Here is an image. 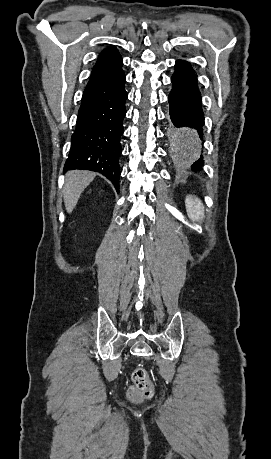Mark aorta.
Instances as JSON below:
<instances>
[{"label": "aorta", "instance_id": "aorta-1", "mask_svg": "<svg viewBox=\"0 0 271 459\" xmlns=\"http://www.w3.org/2000/svg\"><path fill=\"white\" fill-rule=\"evenodd\" d=\"M171 156L180 167H188L201 154V140L195 130L173 129L170 139Z\"/></svg>", "mask_w": 271, "mask_h": 459}]
</instances>
